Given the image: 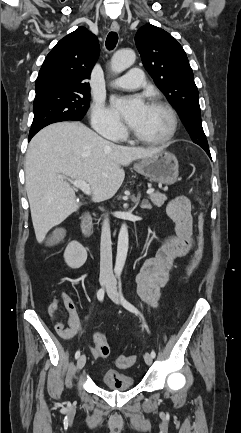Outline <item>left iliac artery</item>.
Instances as JSON below:
<instances>
[{
    "label": "left iliac artery",
    "instance_id": "left-iliac-artery-1",
    "mask_svg": "<svg viewBox=\"0 0 241 433\" xmlns=\"http://www.w3.org/2000/svg\"><path fill=\"white\" fill-rule=\"evenodd\" d=\"M118 289H119V294H120V297H121V301H122L123 306H124L127 310H129V311L135 313L136 315H138V316L140 317V319L142 320V322H143V324H144V327L146 328L147 332L150 333L149 328H148L147 324L145 323V320H144L143 315L140 313V311H139V310H138L134 305H132L130 302H128V301L124 298L123 293H122V283H121V279H120V278H119V281H118ZM151 356H152V358H155V356H156L155 351H152V352H151Z\"/></svg>",
    "mask_w": 241,
    "mask_h": 433
}]
</instances>
